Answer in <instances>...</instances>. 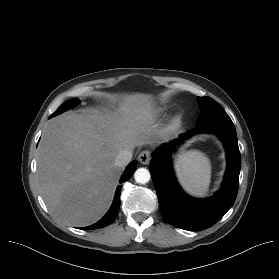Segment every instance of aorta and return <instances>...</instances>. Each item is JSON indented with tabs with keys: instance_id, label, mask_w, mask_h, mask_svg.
I'll list each match as a JSON object with an SVG mask.
<instances>
[{
	"instance_id": "762f6f07",
	"label": "aorta",
	"mask_w": 279,
	"mask_h": 279,
	"mask_svg": "<svg viewBox=\"0 0 279 279\" xmlns=\"http://www.w3.org/2000/svg\"><path fill=\"white\" fill-rule=\"evenodd\" d=\"M151 178L150 172L146 168H138L134 173V179L137 183L145 184Z\"/></svg>"
}]
</instances>
